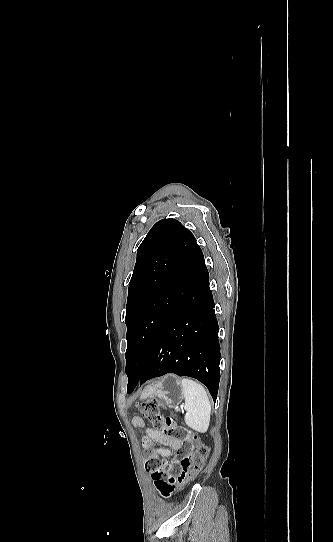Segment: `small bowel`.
I'll use <instances>...</instances> for the list:
<instances>
[{"instance_id": "c3829d8e", "label": "small bowel", "mask_w": 333, "mask_h": 542, "mask_svg": "<svg viewBox=\"0 0 333 542\" xmlns=\"http://www.w3.org/2000/svg\"><path fill=\"white\" fill-rule=\"evenodd\" d=\"M132 423L136 428L142 429L145 432V435L141 439L142 447L157 460L159 458L170 457L172 451L181 450L179 442L169 439L160 430L147 426L141 417H134ZM143 460L149 461L150 455L144 454ZM155 482L163 485L170 483L167 478L155 479Z\"/></svg>"}]
</instances>
